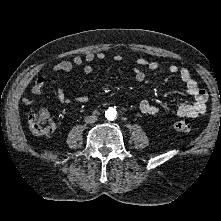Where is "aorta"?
<instances>
[{"label":"aorta","instance_id":"1","mask_svg":"<svg viewBox=\"0 0 221 221\" xmlns=\"http://www.w3.org/2000/svg\"><path fill=\"white\" fill-rule=\"evenodd\" d=\"M116 115H117V112H116V109L114 108L110 107L105 111V117L108 120H114L116 118Z\"/></svg>","mask_w":221,"mask_h":221}]
</instances>
